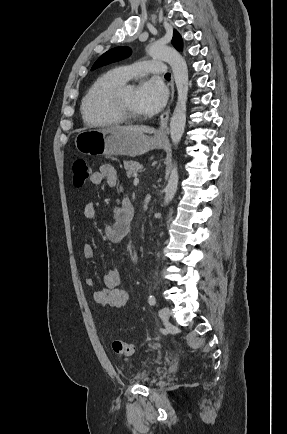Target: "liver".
<instances>
[{"mask_svg": "<svg viewBox=\"0 0 287 434\" xmlns=\"http://www.w3.org/2000/svg\"><path fill=\"white\" fill-rule=\"evenodd\" d=\"M117 129L131 132V133H152L153 130L146 126H126V127H115Z\"/></svg>", "mask_w": 287, "mask_h": 434, "instance_id": "obj_1", "label": "liver"}]
</instances>
